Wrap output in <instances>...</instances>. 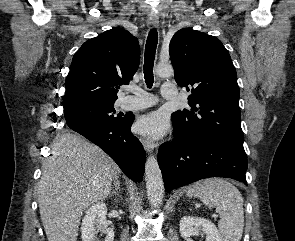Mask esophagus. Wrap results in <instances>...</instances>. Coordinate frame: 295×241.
I'll list each match as a JSON object with an SVG mask.
<instances>
[{
	"label": "esophagus",
	"mask_w": 295,
	"mask_h": 241,
	"mask_svg": "<svg viewBox=\"0 0 295 241\" xmlns=\"http://www.w3.org/2000/svg\"><path fill=\"white\" fill-rule=\"evenodd\" d=\"M147 24L150 27L155 28L158 26L159 21L157 19L150 18L147 20ZM142 144L147 152H151L152 150L157 148V143L153 142L148 138H142Z\"/></svg>",
	"instance_id": "esophagus-1"
}]
</instances>
